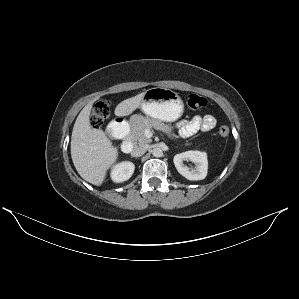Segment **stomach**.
Segmentation results:
<instances>
[{
  "label": "stomach",
  "instance_id": "stomach-1",
  "mask_svg": "<svg viewBox=\"0 0 299 299\" xmlns=\"http://www.w3.org/2000/svg\"><path fill=\"white\" fill-rule=\"evenodd\" d=\"M140 106L147 116L166 122L176 121L184 110L178 93L163 87L147 90Z\"/></svg>",
  "mask_w": 299,
  "mask_h": 299
}]
</instances>
